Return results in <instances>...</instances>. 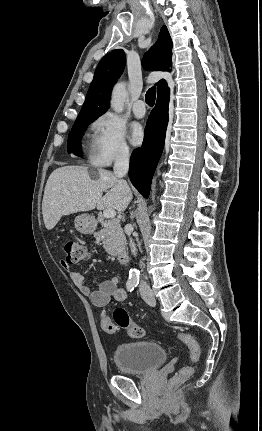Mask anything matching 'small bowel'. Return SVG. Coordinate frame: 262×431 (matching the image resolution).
<instances>
[{
  "label": "small bowel",
  "instance_id": "c3829d8e",
  "mask_svg": "<svg viewBox=\"0 0 262 431\" xmlns=\"http://www.w3.org/2000/svg\"><path fill=\"white\" fill-rule=\"evenodd\" d=\"M62 266L68 272L73 284L83 295L88 297L93 306L104 308L109 305L111 300H114L116 303L126 300V291L118 287V277L105 280L99 284L97 289L92 290L80 273L73 270L69 265L62 264Z\"/></svg>",
  "mask_w": 262,
  "mask_h": 431
}]
</instances>
